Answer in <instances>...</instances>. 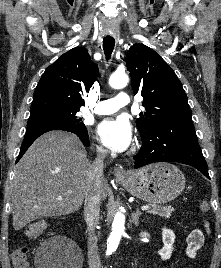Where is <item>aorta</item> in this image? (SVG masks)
Listing matches in <instances>:
<instances>
[{
	"instance_id": "obj_1",
	"label": "aorta",
	"mask_w": 221,
	"mask_h": 268,
	"mask_svg": "<svg viewBox=\"0 0 221 268\" xmlns=\"http://www.w3.org/2000/svg\"><path fill=\"white\" fill-rule=\"evenodd\" d=\"M129 82L128 75L125 73H114L109 78V85L114 89H121L125 87ZM125 216L120 211L114 216L112 223V232L107 240V254H112L116 251L121 236L124 232Z\"/></svg>"
}]
</instances>
